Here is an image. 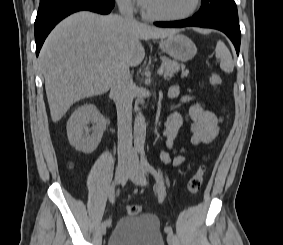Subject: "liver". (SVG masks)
<instances>
[{
    "mask_svg": "<svg viewBox=\"0 0 283 245\" xmlns=\"http://www.w3.org/2000/svg\"><path fill=\"white\" fill-rule=\"evenodd\" d=\"M176 32L88 11L61 21L39 55L52 121L58 122L75 102L106 93L119 71L139 65L145 57L141 40Z\"/></svg>",
    "mask_w": 283,
    "mask_h": 245,
    "instance_id": "1",
    "label": "liver"
}]
</instances>
